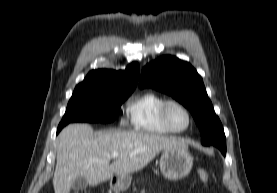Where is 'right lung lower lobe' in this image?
Returning a JSON list of instances; mask_svg holds the SVG:
<instances>
[{"label": "right lung lower lobe", "mask_w": 277, "mask_h": 193, "mask_svg": "<svg viewBox=\"0 0 277 193\" xmlns=\"http://www.w3.org/2000/svg\"><path fill=\"white\" fill-rule=\"evenodd\" d=\"M63 127H64V126L59 125V126H58V129H57V133H59V131H60Z\"/></svg>", "instance_id": "1"}]
</instances>
